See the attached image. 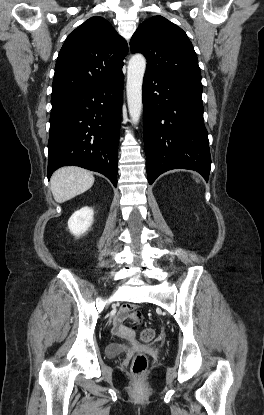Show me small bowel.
I'll use <instances>...</instances> for the list:
<instances>
[{"instance_id": "obj_1", "label": "small bowel", "mask_w": 264, "mask_h": 415, "mask_svg": "<svg viewBox=\"0 0 264 415\" xmlns=\"http://www.w3.org/2000/svg\"><path fill=\"white\" fill-rule=\"evenodd\" d=\"M129 313V308L127 306L121 307L118 312L114 315L112 319V333L116 337L125 338L130 337L131 332L124 325V321Z\"/></svg>"}]
</instances>
